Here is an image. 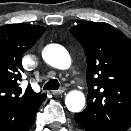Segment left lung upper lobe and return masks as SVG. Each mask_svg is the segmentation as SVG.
Segmentation results:
<instances>
[{"label": "left lung upper lobe", "instance_id": "1", "mask_svg": "<svg viewBox=\"0 0 131 131\" xmlns=\"http://www.w3.org/2000/svg\"><path fill=\"white\" fill-rule=\"evenodd\" d=\"M87 58L88 105L81 112L102 131L131 126V40L103 22L70 29Z\"/></svg>", "mask_w": 131, "mask_h": 131}]
</instances>
